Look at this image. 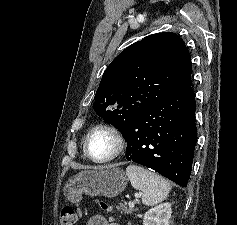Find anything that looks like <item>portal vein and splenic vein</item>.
<instances>
[{"label": "portal vein and splenic vein", "instance_id": "portal-vein-and-splenic-vein-1", "mask_svg": "<svg viewBox=\"0 0 237 225\" xmlns=\"http://www.w3.org/2000/svg\"><path fill=\"white\" fill-rule=\"evenodd\" d=\"M138 196H140V194H137V195H136V197H138ZM128 206H129V208H133V207H134V202L130 201V202L128 203Z\"/></svg>", "mask_w": 237, "mask_h": 225}]
</instances>
